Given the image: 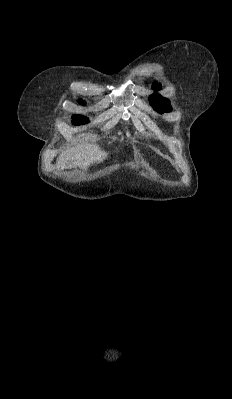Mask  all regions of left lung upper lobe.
Returning a JSON list of instances; mask_svg holds the SVG:
<instances>
[{"instance_id":"obj_1","label":"left lung upper lobe","mask_w":232,"mask_h":399,"mask_svg":"<svg viewBox=\"0 0 232 399\" xmlns=\"http://www.w3.org/2000/svg\"><path fill=\"white\" fill-rule=\"evenodd\" d=\"M152 88L157 91L161 89L160 83H153ZM150 105L160 112V113H168L172 110L170 101L167 98L162 97L159 94H153L149 96Z\"/></svg>"}]
</instances>
